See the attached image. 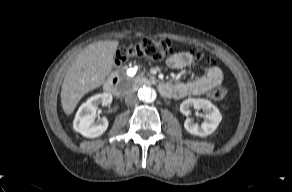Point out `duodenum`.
<instances>
[{
  "mask_svg": "<svg viewBox=\"0 0 292 192\" xmlns=\"http://www.w3.org/2000/svg\"><path fill=\"white\" fill-rule=\"evenodd\" d=\"M105 88L109 93L115 96H120L122 94L120 75L118 73L112 75L107 81ZM159 90L162 95H165L169 92L170 85L167 83H162L159 86Z\"/></svg>",
  "mask_w": 292,
  "mask_h": 192,
  "instance_id": "410a0bca",
  "label": "duodenum"
}]
</instances>
